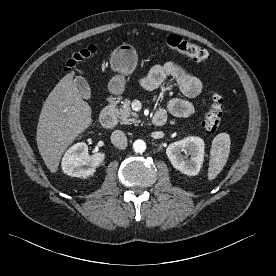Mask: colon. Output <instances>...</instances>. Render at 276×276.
Listing matches in <instances>:
<instances>
[{
  "label": "colon",
  "mask_w": 276,
  "mask_h": 276,
  "mask_svg": "<svg viewBox=\"0 0 276 276\" xmlns=\"http://www.w3.org/2000/svg\"><path fill=\"white\" fill-rule=\"evenodd\" d=\"M168 48L187 55L197 62H205L209 58V53L206 49L192 42L183 39L179 35L171 34L166 38ZM97 47L93 44L85 47L72 50L62 60L64 69H71L76 64L86 58L95 55ZM223 98L220 94L212 95L208 109L202 121V127L207 133H214L219 128L223 116Z\"/></svg>",
  "instance_id": "obj_1"
}]
</instances>
